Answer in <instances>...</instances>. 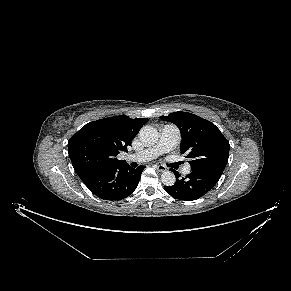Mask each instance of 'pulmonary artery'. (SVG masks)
Instances as JSON below:
<instances>
[{"label": "pulmonary artery", "mask_w": 291, "mask_h": 291, "mask_svg": "<svg viewBox=\"0 0 291 291\" xmlns=\"http://www.w3.org/2000/svg\"><path fill=\"white\" fill-rule=\"evenodd\" d=\"M180 139V130L177 126L172 124L165 125L160 133L159 141L142 151L137 153L129 154L126 159L128 161L146 162L150 161L161 154L171 151L178 144ZM183 172L189 174L191 168L189 166L185 167Z\"/></svg>", "instance_id": "1"}]
</instances>
